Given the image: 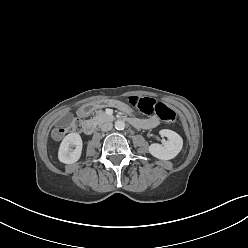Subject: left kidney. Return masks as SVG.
Listing matches in <instances>:
<instances>
[{"mask_svg": "<svg viewBox=\"0 0 248 248\" xmlns=\"http://www.w3.org/2000/svg\"><path fill=\"white\" fill-rule=\"evenodd\" d=\"M163 137H167L168 140L163 145L153 143L149 146V152L152 156L161 160H170L176 157L183 147V139L176 132L163 129L159 132Z\"/></svg>", "mask_w": 248, "mask_h": 248, "instance_id": "obj_1", "label": "left kidney"}]
</instances>
